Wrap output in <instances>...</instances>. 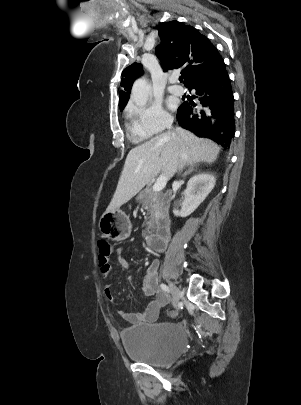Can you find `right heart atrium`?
Returning a JSON list of instances; mask_svg holds the SVG:
<instances>
[{
    "mask_svg": "<svg viewBox=\"0 0 301 405\" xmlns=\"http://www.w3.org/2000/svg\"><path fill=\"white\" fill-rule=\"evenodd\" d=\"M130 111L140 131L148 136L164 131L172 123V116L159 102L134 105Z\"/></svg>",
    "mask_w": 301,
    "mask_h": 405,
    "instance_id": "right-heart-atrium-1",
    "label": "right heart atrium"
}]
</instances>
